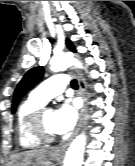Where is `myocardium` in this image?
<instances>
[{"instance_id":"1","label":"myocardium","mask_w":135,"mask_h":166,"mask_svg":"<svg viewBox=\"0 0 135 166\" xmlns=\"http://www.w3.org/2000/svg\"><path fill=\"white\" fill-rule=\"evenodd\" d=\"M48 108L42 107L35 111L29 118L28 127L31 134L41 142L51 143L56 139V134L47 132L44 127L43 117Z\"/></svg>"}]
</instances>
